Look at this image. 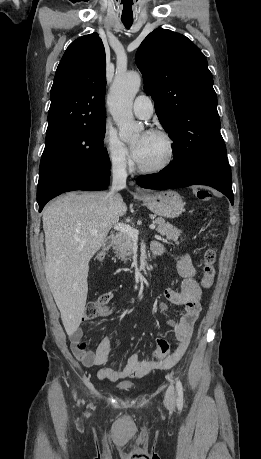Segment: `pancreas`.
<instances>
[{"label": "pancreas", "mask_w": 261, "mask_h": 459, "mask_svg": "<svg viewBox=\"0 0 261 459\" xmlns=\"http://www.w3.org/2000/svg\"><path fill=\"white\" fill-rule=\"evenodd\" d=\"M154 219V222L158 225L157 232L166 236L168 240L174 241L176 244H179V237L182 233L181 230L172 226L170 223L166 222L164 218L157 217L156 215H151ZM133 240L132 238L124 232H119L114 238L113 249L117 254L118 258L126 262L130 259L132 255Z\"/></svg>", "instance_id": "cf45deb5"}]
</instances>
